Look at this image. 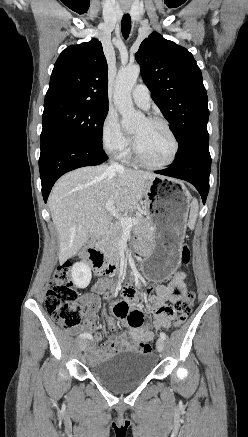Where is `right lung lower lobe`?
Wrapping results in <instances>:
<instances>
[{
    "mask_svg": "<svg viewBox=\"0 0 248 437\" xmlns=\"http://www.w3.org/2000/svg\"><path fill=\"white\" fill-rule=\"evenodd\" d=\"M107 160L102 147L67 135H51L41 140L39 159L44 201L56 180L71 170L98 165Z\"/></svg>",
    "mask_w": 248,
    "mask_h": 437,
    "instance_id": "1",
    "label": "right lung lower lobe"
}]
</instances>
